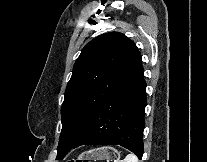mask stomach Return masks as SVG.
Instances as JSON below:
<instances>
[{
    "label": "stomach",
    "instance_id": "stomach-1",
    "mask_svg": "<svg viewBox=\"0 0 207 162\" xmlns=\"http://www.w3.org/2000/svg\"><path fill=\"white\" fill-rule=\"evenodd\" d=\"M118 155V152L114 148L104 146L82 153L77 160H110Z\"/></svg>",
    "mask_w": 207,
    "mask_h": 162
}]
</instances>
